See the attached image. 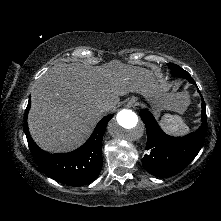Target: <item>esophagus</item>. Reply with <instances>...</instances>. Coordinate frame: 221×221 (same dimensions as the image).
I'll return each mask as SVG.
<instances>
[{"label":"esophagus","instance_id":"34e87169","mask_svg":"<svg viewBox=\"0 0 221 221\" xmlns=\"http://www.w3.org/2000/svg\"><path fill=\"white\" fill-rule=\"evenodd\" d=\"M137 104V100L135 98H131L128 103H127V106L128 107H133Z\"/></svg>","mask_w":221,"mask_h":221}]
</instances>
